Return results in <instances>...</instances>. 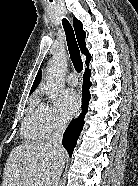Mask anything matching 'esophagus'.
Here are the masks:
<instances>
[{"label": "esophagus", "mask_w": 138, "mask_h": 186, "mask_svg": "<svg viewBox=\"0 0 138 186\" xmlns=\"http://www.w3.org/2000/svg\"><path fill=\"white\" fill-rule=\"evenodd\" d=\"M81 112H82V105L80 104V107H79V110L77 112L76 118L79 117V115L81 114Z\"/></svg>", "instance_id": "esophagus-1"}]
</instances>
